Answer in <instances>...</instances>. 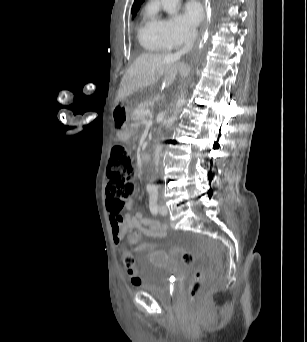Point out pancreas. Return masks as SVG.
<instances>
[{"instance_id":"1","label":"pancreas","mask_w":307,"mask_h":342,"mask_svg":"<svg viewBox=\"0 0 307 342\" xmlns=\"http://www.w3.org/2000/svg\"><path fill=\"white\" fill-rule=\"evenodd\" d=\"M153 102L152 100H147V102H141L138 107L135 108L134 118L142 119L144 110H150L152 108Z\"/></svg>"}]
</instances>
